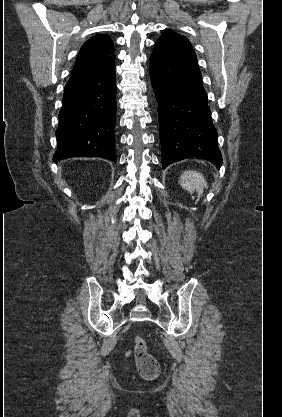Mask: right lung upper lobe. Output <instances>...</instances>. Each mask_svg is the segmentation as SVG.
Here are the masks:
<instances>
[{"mask_svg": "<svg viewBox=\"0 0 282 417\" xmlns=\"http://www.w3.org/2000/svg\"><path fill=\"white\" fill-rule=\"evenodd\" d=\"M113 41L99 34L86 41L78 54L71 76L77 75L115 60Z\"/></svg>", "mask_w": 282, "mask_h": 417, "instance_id": "cb5924a9", "label": "right lung upper lobe"}]
</instances>
